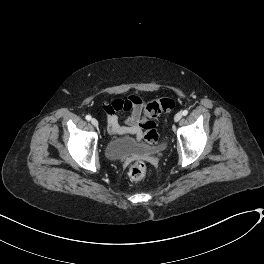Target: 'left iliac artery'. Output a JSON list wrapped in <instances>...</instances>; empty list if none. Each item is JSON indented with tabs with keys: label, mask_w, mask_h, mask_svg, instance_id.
I'll list each match as a JSON object with an SVG mask.
<instances>
[{
	"label": "left iliac artery",
	"mask_w": 264,
	"mask_h": 264,
	"mask_svg": "<svg viewBox=\"0 0 264 264\" xmlns=\"http://www.w3.org/2000/svg\"><path fill=\"white\" fill-rule=\"evenodd\" d=\"M188 114V111L187 110H183L182 111V115L186 116Z\"/></svg>",
	"instance_id": "44dca946"
}]
</instances>
